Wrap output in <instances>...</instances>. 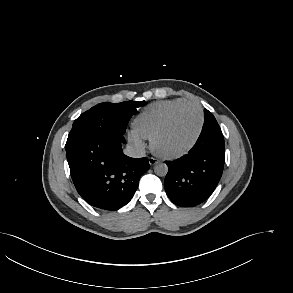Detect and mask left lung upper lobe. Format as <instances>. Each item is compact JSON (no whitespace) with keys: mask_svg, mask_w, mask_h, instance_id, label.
<instances>
[{"mask_svg":"<svg viewBox=\"0 0 293 293\" xmlns=\"http://www.w3.org/2000/svg\"><path fill=\"white\" fill-rule=\"evenodd\" d=\"M212 124H218L215 117L211 112H209L207 109L204 110V125L203 128L208 127Z\"/></svg>","mask_w":293,"mask_h":293,"instance_id":"left-lung-upper-lobe-1","label":"left lung upper lobe"}]
</instances>
